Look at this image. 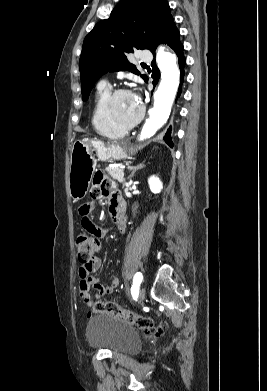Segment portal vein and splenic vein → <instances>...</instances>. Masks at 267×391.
Masks as SVG:
<instances>
[{
    "mask_svg": "<svg viewBox=\"0 0 267 391\" xmlns=\"http://www.w3.org/2000/svg\"><path fill=\"white\" fill-rule=\"evenodd\" d=\"M120 168L124 169V168H125V166H120Z\"/></svg>",
    "mask_w": 267,
    "mask_h": 391,
    "instance_id": "1",
    "label": "portal vein and splenic vein"
}]
</instances>
